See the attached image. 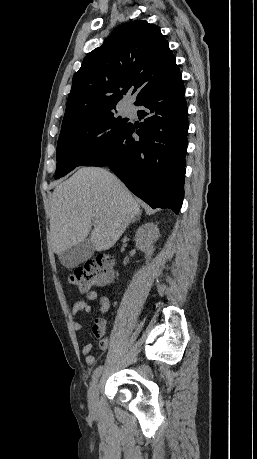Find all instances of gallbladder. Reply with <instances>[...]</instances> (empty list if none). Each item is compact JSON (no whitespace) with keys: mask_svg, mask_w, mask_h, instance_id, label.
Masks as SVG:
<instances>
[{"mask_svg":"<svg viewBox=\"0 0 257 459\" xmlns=\"http://www.w3.org/2000/svg\"><path fill=\"white\" fill-rule=\"evenodd\" d=\"M94 245L90 238L84 239L77 245L59 255V260L68 269L74 268L89 259L94 253Z\"/></svg>","mask_w":257,"mask_h":459,"instance_id":"gallbladder-1","label":"gallbladder"}]
</instances>
